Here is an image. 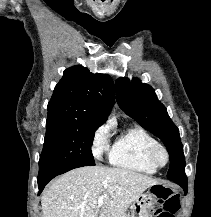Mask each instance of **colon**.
Here are the masks:
<instances>
[{
    "label": "colon",
    "mask_w": 211,
    "mask_h": 217,
    "mask_svg": "<svg viewBox=\"0 0 211 217\" xmlns=\"http://www.w3.org/2000/svg\"><path fill=\"white\" fill-rule=\"evenodd\" d=\"M155 194L159 198L160 207L154 214L155 217H174L180 209L179 196L166 186H157Z\"/></svg>",
    "instance_id": "obj_1"
}]
</instances>
